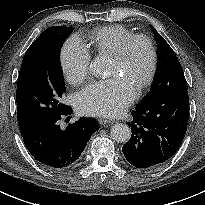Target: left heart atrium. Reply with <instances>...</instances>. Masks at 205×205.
I'll use <instances>...</instances> for the list:
<instances>
[{"label":"left heart atrium","mask_w":205,"mask_h":205,"mask_svg":"<svg viewBox=\"0 0 205 205\" xmlns=\"http://www.w3.org/2000/svg\"><path fill=\"white\" fill-rule=\"evenodd\" d=\"M136 86L126 77L114 76L95 81L82 89L75 98L80 114L117 116L136 98Z\"/></svg>","instance_id":"left-heart-atrium-1"}]
</instances>
